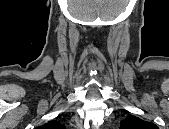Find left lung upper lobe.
<instances>
[{"mask_svg":"<svg viewBox=\"0 0 169 129\" xmlns=\"http://www.w3.org/2000/svg\"><path fill=\"white\" fill-rule=\"evenodd\" d=\"M120 129H158V127L150 122L141 120L135 116H128L121 121Z\"/></svg>","mask_w":169,"mask_h":129,"instance_id":"1","label":"left lung upper lobe"}]
</instances>
